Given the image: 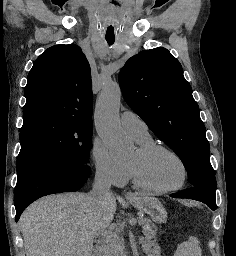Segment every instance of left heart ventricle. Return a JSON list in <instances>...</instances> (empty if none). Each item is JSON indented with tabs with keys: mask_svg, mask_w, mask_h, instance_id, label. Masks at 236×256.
Wrapping results in <instances>:
<instances>
[{
	"mask_svg": "<svg viewBox=\"0 0 236 256\" xmlns=\"http://www.w3.org/2000/svg\"><path fill=\"white\" fill-rule=\"evenodd\" d=\"M128 163L139 164L145 179L156 187H171L178 184L183 176L180 162L167 152H158L141 160L137 149Z\"/></svg>",
	"mask_w": 236,
	"mask_h": 256,
	"instance_id": "b2bd125f",
	"label": "left heart ventricle"
}]
</instances>
